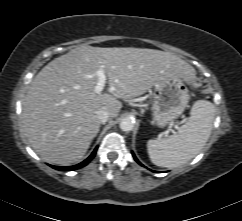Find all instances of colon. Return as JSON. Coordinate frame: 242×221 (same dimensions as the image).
<instances>
[{
	"label": "colon",
	"instance_id": "1",
	"mask_svg": "<svg viewBox=\"0 0 242 221\" xmlns=\"http://www.w3.org/2000/svg\"><path fill=\"white\" fill-rule=\"evenodd\" d=\"M194 84H195L196 87L198 86V79L197 78L194 79Z\"/></svg>",
	"mask_w": 242,
	"mask_h": 221
}]
</instances>
